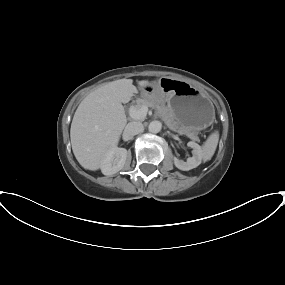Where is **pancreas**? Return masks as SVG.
Masks as SVG:
<instances>
[{"label": "pancreas", "mask_w": 285, "mask_h": 285, "mask_svg": "<svg viewBox=\"0 0 285 285\" xmlns=\"http://www.w3.org/2000/svg\"><path fill=\"white\" fill-rule=\"evenodd\" d=\"M142 106H147V107H151L153 109H160L162 106H160L157 102H155L154 100H150L147 98H138L136 100V104L134 105V107L136 109H140ZM139 120H144V119H139ZM180 133H184L186 134L189 138H191L194 141H198L199 138L197 136L196 133L191 132V131H187L184 129L179 128Z\"/></svg>", "instance_id": "cf45deb5"}]
</instances>
